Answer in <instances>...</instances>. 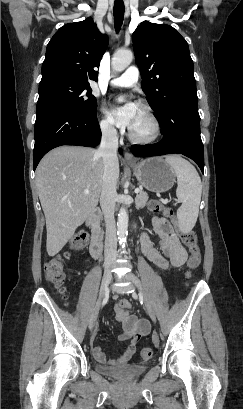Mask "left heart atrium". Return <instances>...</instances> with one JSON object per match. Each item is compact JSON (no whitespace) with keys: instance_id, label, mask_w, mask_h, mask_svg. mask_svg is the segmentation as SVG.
<instances>
[{"instance_id":"1","label":"left heart atrium","mask_w":243,"mask_h":409,"mask_svg":"<svg viewBox=\"0 0 243 409\" xmlns=\"http://www.w3.org/2000/svg\"><path fill=\"white\" fill-rule=\"evenodd\" d=\"M136 110L137 105L132 101H127L121 105H112L109 110V116L117 126L130 129L136 115Z\"/></svg>"}]
</instances>
